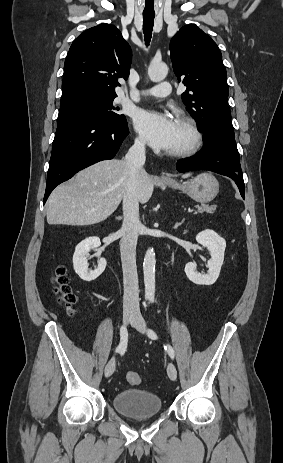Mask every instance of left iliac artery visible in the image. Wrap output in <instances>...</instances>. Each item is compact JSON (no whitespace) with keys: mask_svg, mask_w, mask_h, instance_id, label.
<instances>
[{"mask_svg":"<svg viewBox=\"0 0 283 463\" xmlns=\"http://www.w3.org/2000/svg\"><path fill=\"white\" fill-rule=\"evenodd\" d=\"M153 302L154 301L151 300V303H153ZM147 334H148L149 338L154 339V340L157 339V334L152 329H148ZM165 350L168 352L169 356L172 359H174L175 353H174L173 348L170 345H167V346H165Z\"/></svg>","mask_w":283,"mask_h":463,"instance_id":"1","label":"left iliac artery"}]
</instances>
